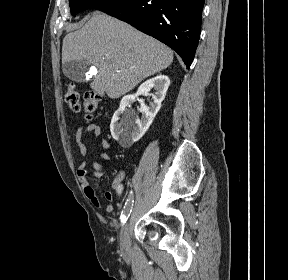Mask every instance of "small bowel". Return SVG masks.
I'll return each instance as SVG.
<instances>
[{
	"label": "small bowel",
	"instance_id": "small-bowel-1",
	"mask_svg": "<svg viewBox=\"0 0 288 280\" xmlns=\"http://www.w3.org/2000/svg\"><path fill=\"white\" fill-rule=\"evenodd\" d=\"M85 133H92L96 137H101V135H102L101 127L95 123L89 124L85 129L83 127L77 128L76 133H75V141H76L78 150L82 156H87V154H88V148H87V146L83 140V136ZM100 146L103 149H108L110 146V143L106 138L102 137L101 141H100ZM100 158L105 160V161L110 160V156L107 152L100 153ZM91 166H92L93 170L89 169L87 162H82L77 169V177H78V180L80 182V185L83 189L85 196L89 199V201L94 206L100 208V207H102L101 201L98 198L94 188L91 186V184L88 180V175H91L95 178H100L103 176V174L105 172V168L97 162H92ZM122 178H123V173H121L115 181H121ZM105 197L108 201H112L114 198L112 192H106ZM113 210H114V207L112 204H107L105 206V211L107 213H111V212H113Z\"/></svg>",
	"mask_w": 288,
	"mask_h": 280
}]
</instances>
